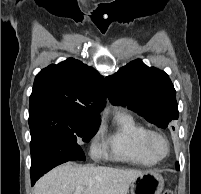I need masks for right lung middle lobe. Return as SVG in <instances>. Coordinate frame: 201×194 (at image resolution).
<instances>
[{
    "instance_id": "1",
    "label": "right lung middle lobe",
    "mask_w": 201,
    "mask_h": 194,
    "mask_svg": "<svg viewBox=\"0 0 201 194\" xmlns=\"http://www.w3.org/2000/svg\"><path fill=\"white\" fill-rule=\"evenodd\" d=\"M100 118L82 117L73 114L68 107L58 102H40L29 105V127L31 135L45 130L53 135L77 141L89 142L97 132ZM73 160H85L80 153Z\"/></svg>"
}]
</instances>
